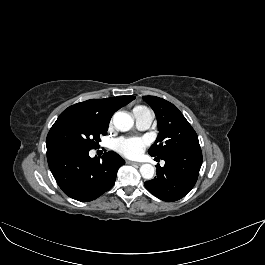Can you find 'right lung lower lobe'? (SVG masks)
Masks as SVG:
<instances>
[{"mask_svg":"<svg viewBox=\"0 0 265 265\" xmlns=\"http://www.w3.org/2000/svg\"><path fill=\"white\" fill-rule=\"evenodd\" d=\"M49 168L62 191L69 197L88 202L109 190L118 169L125 161L115 152L104 153L102 160L91 158L89 151L47 152Z\"/></svg>","mask_w":265,"mask_h":265,"instance_id":"right-lung-lower-lobe-1","label":"right lung lower lobe"}]
</instances>
